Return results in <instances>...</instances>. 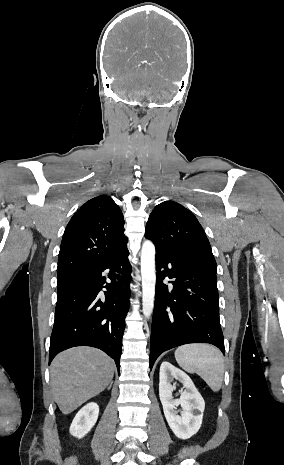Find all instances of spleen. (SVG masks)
<instances>
[{
  "instance_id": "obj_1",
  "label": "spleen",
  "mask_w": 284,
  "mask_h": 465,
  "mask_svg": "<svg viewBox=\"0 0 284 465\" xmlns=\"http://www.w3.org/2000/svg\"><path fill=\"white\" fill-rule=\"evenodd\" d=\"M175 359L187 373H197L208 387L217 393L222 387L224 359L211 345H182L175 351Z\"/></svg>"
}]
</instances>
